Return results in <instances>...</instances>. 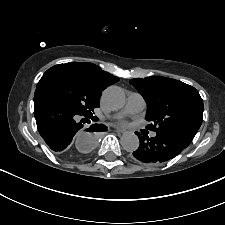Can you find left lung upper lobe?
I'll list each match as a JSON object with an SVG mask.
<instances>
[{
  "mask_svg": "<svg viewBox=\"0 0 225 225\" xmlns=\"http://www.w3.org/2000/svg\"><path fill=\"white\" fill-rule=\"evenodd\" d=\"M147 102V129L156 133L181 128L199 129L203 101L198 91L181 81L150 76L130 81Z\"/></svg>",
  "mask_w": 225,
  "mask_h": 225,
  "instance_id": "1",
  "label": "left lung upper lobe"
}]
</instances>
